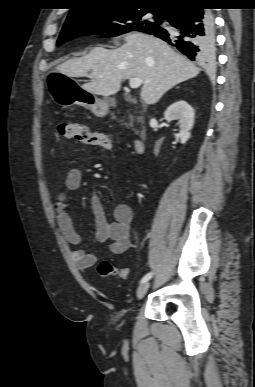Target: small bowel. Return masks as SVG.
<instances>
[{"label": "small bowel", "mask_w": 255, "mask_h": 387, "mask_svg": "<svg viewBox=\"0 0 255 387\" xmlns=\"http://www.w3.org/2000/svg\"><path fill=\"white\" fill-rule=\"evenodd\" d=\"M81 182V171L78 168L69 169L66 173L64 187L54 203L58 226L65 239L74 246H79L82 238L77 233L73 219L67 211V199L71 192L79 189ZM91 208L97 242H110V251L113 254H122L134 247L132 242L133 210L128 204L122 203L115 207L112 221L107 220L104 205L97 195L91 197ZM71 255L81 270L94 266L98 260L97 255L82 248L72 250Z\"/></svg>", "instance_id": "c3829d8e"}]
</instances>
